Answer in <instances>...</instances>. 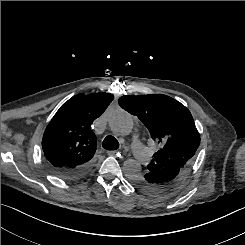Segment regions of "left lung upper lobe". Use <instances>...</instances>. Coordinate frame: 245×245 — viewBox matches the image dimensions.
Masks as SVG:
<instances>
[{
  "label": "left lung upper lobe",
  "mask_w": 245,
  "mask_h": 245,
  "mask_svg": "<svg viewBox=\"0 0 245 245\" xmlns=\"http://www.w3.org/2000/svg\"><path fill=\"white\" fill-rule=\"evenodd\" d=\"M119 105L136 115L147 127L151 138L160 143V150L148 165L145 175L133 179L134 186L147 194H153L148 174L175 166L186 171L200 145V135L190 111L177 100L163 94L125 95Z\"/></svg>",
  "instance_id": "1"
}]
</instances>
